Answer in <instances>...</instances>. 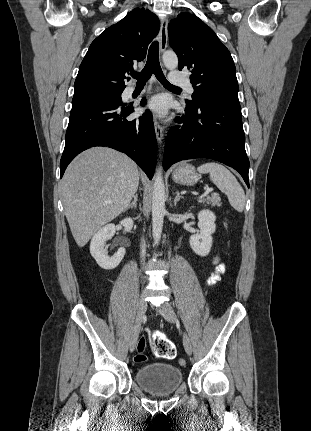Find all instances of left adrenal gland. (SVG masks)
<instances>
[{"label":"left adrenal gland","mask_w":311,"mask_h":431,"mask_svg":"<svg viewBox=\"0 0 311 431\" xmlns=\"http://www.w3.org/2000/svg\"><path fill=\"white\" fill-rule=\"evenodd\" d=\"M182 196H180L179 192H176L175 200L173 202L174 206H176L177 202L181 200Z\"/></svg>","instance_id":"a2214340"}]
</instances>
